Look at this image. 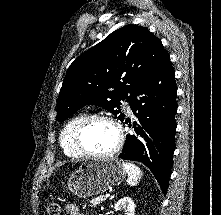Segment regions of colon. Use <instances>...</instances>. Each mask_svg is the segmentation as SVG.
Wrapping results in <instances>:
<instances>
[{"label":"colon","mask_w":221,"mask_h":215,"mask_svg":"<svg viewBox=\"0 0 221 215\" xmlns=\"http://www.w3.org/2000/svg\"><path fill=\"white\" fill-rule=\"evenodd\" d=\"M47 215H61V206L58 203H50L47 206Z\"/></svg>","instance_id":"obj_1"}]
</instances>
